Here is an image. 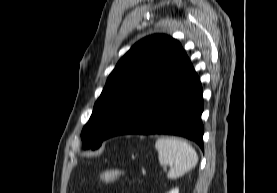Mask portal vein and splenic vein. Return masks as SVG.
<instances>
[{
    "label": "portal vein and splenic vein",
    "mask_w": 277,
    "mask_h": 193,
    "mask_svg": "<svg viewBox=\"0 0 277 193\" xmlns=\"http://www.w3.org/2000/svg\"><path fill=\"white\" fill-rule=\"evenodd\" d=\"M169 166H170V167H172V166H173V164H169ZM164 170H167V168L165 167V168H164Z\"/></svg>",
    "instance_id": "obj_1"
}]
</instances>
